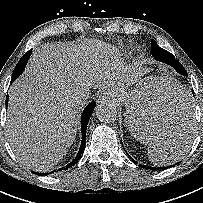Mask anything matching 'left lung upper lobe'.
I'll return each instance as SVG.
<instances>
[{
    "instance_id": "left-lung-upper-lobe-1",
    "label": "left lung upper lobe",
    "mask_w": 203,
    "mask_h": 203,
    "mask_svg": "<svg viewBox=\"0 0 203 203\" xmlns=\"http://www.w3.org/2000/svg\"><path fill=\"white\" fill-rule=\"evenodd\" d=\"M158 48H160V47L156 44V42H155L154 40H152V42H151V50H152V53H153L155 50H157ZM183 70H185L184 67H183ZM182 74H184V73H182Z\"/></svg>"
}]
</instances>
